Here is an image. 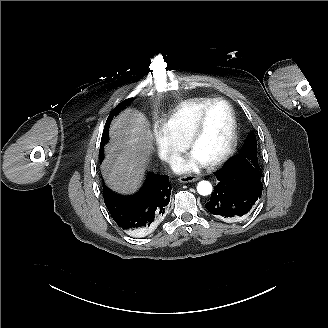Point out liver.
<instances>
[{
	"label": "liver",
	"mask_w": 328,
	"mask_h": 328,
	"mask_svg": "<svg viewBox=\"0 0 328 328\" xmlns=\"http://www.w3.org/2000/svg\"><path fill=\"white\" fill-rule=\"evenodd\" d=\"M112 143L107 146L104 176L113 189L135 190L142 182L145 155L152 150L149 123L138 111L127 110L117 118L111 129Z\"/></svg>",
	"instance_id": "liver-1"
}]
</instances>
